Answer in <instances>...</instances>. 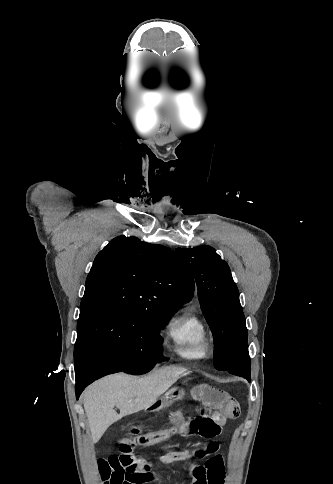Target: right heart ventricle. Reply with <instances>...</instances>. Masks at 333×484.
Segmentation results:
<instances>
[{"mask_svg":"<svg viewBox=\"0 0 333 484\" xmlns=\"http://www.w3.org/2000/svg\"><path fill=\"white\" fill-rule=\"evenodd\" d=\"M167 334L178 356L198 360L208 355V332L205 323L193 309H186L174 317L168 324Z\"/></svg>","mask_w":333,"mask_h":484,"instance_id":"right-heart-ventricle-1","label":"right heart ventricle"}]
</instances>
